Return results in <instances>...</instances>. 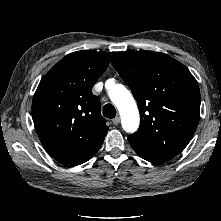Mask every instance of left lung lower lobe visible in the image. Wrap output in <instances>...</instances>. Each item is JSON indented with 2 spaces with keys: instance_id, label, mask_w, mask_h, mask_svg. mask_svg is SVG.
I'll list each match as a JSON object with an SVG mask.
<instances>
[{
  "instance_id": "1",
  "label": "left lung lower lobe",
  "mask_w": 221,
  "mask_h": 221,
  "mask_svg": "<svg viewBox=\"0 0 221 221\" xmlns=\"http://www.w3.org/2000/svg\"><path fill=\"white\" fill-rule=\"evenodd\" d=\"M140 157L152 163H162L167 160V159L157 158V157H147V156H140Z\"/></svg>"
}]
</instances>
